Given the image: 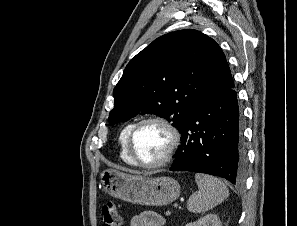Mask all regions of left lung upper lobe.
Masks as SVG:
<instances>
[{
	"mask_svg": "<svg viewBox=\"0 0 297 226\" xmlns=\"http://www.w3.org/2000/svg\"><path fill=\"white\" fill-rule=\"evenodd\" d=\"M234 87L225 55L207 35L184 29L163 35L126 66L113 91L109 123L152 111L179 131L201 97Z\"/></svg>",
	"mask_w": 297,
	"mask_h": 226,
	"instance_id": "5c2ea615",
	"label": "left lung upper lobe"
}]
</instances>
